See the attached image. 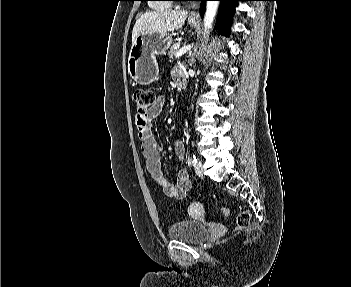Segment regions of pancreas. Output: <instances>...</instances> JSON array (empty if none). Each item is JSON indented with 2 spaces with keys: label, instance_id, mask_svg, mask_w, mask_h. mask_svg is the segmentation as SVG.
Returning a JSON list of instances; mask_svg holds the SVG:
<instances>
[{
  "label": "pancreas",
  "instance_id": "pancreas-1",
  "mask_svg": "<svg viewBox=\"0 0 351 287\" xmlns=\"http://www.w3.org/2000/svg\"><path fill=\"white\" fill-rule=\"evenodd\" d=\"M179 45H180V43H177V44H173L170 47V50L168 51V56L170 59H172L176 55V53L178 52Z\"/></svg>",
  "mask_w": 351,
  "mask_h": 287
}]
</instances>
